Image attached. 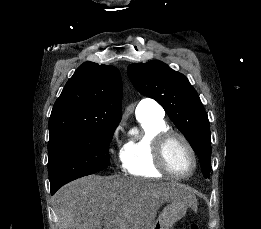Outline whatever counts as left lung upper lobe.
<instances>
[{
	"label": "left lung upper lobe",
	"mask_w": 261,
	"mask_h": 229,
	"mask_svg": "<svg viewBox=\"0 0 261 229\" xmlns=\"http://www.w3.org/2000/svg\"><path fill=\"white\" fill-rule=\"evenodd\" d=\"M128 76L141 94L162 105L199 157L203 175L208 178L211 158L210 125L200 98L188 79L157 60L129 65Z\"/></svg>",
	"instance_id": "1"
}]
</instances>
